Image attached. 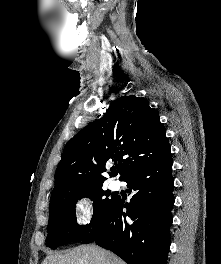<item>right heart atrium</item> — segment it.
<instances>
[{
    "label": "right heart atrium",
    "mask_w": 221,
    "mask_h": 264,
    "mask_svg": "<svg viewBox=\"0 0 221 264\" xmlns=\"http://www.w3.org/2000/svg\"><path fill=\"white\" fill-rule=\"evenodd\" d=\"M96 211L94 199L83 194L79 196L73 205L74 225L76 228H84L91 223Z\"/></svg>",
    "instance_id": "obj_1"
}]
</instances>
